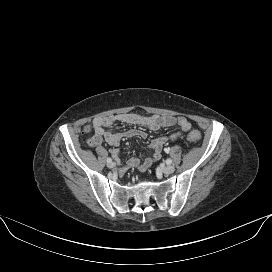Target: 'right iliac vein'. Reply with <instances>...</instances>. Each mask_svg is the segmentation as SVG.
<instances>
[{"label":"right iliac vein","instance_id":"63e3f726","mask_svg":"<svg viewBox=\"0 0 272 272\" xmlns=\"http://www.w3.org/2000/svg\"><path fill=\"white\" fill-rule=\"evenodd\" d=\"M107 167L108 168H114L115 167V163L114 162L107 163Z\"/></svg>","mask_w":272,"mask_h":272}]
</instances>
